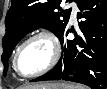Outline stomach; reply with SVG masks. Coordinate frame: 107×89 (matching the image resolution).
<instances>
[{"label": "stomach", "instance_id": "1", "mask_svg": "<svg viewBox=\"0 0 107 89\" xmlns=\"http://www.w3.org/2000/svg\"><path fill=\"white\" fill-rule=\"evenodd\" d=\"M42 88H44V89H64L63 85H60V87H57V88L53 87L52 85H45ZM30 89H36V88H30Z\"/></svg>", "mask_w": 107, "mask_h": 89}]
</instances>
